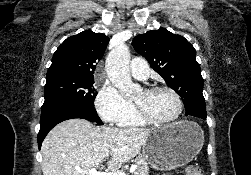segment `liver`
<instances>
[{
  "label": "liver",
  "instance_id": "liver-1",
  "mask_svg": "<svg viewBox=\"0 0 251 175\" xmlns=\"http://www.w3.org/2000/svg\"><path fill=\"white\" fill-rule=\"evenodd\" d=\"M150 129L143 127H102L87 119H66L46 135L42 151L43 175H85L99 167L104 157L109 169H119L139 153Z\"/></svg>",
  "mask_w": 251,
  "mask_h": 175
}]
</instances>
